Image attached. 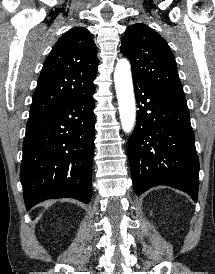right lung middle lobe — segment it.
Wrapping results in <instances>:
<instances>
[{
  "label": "right lung middle lobe",
  "instance_id": "obj_1",
  "mask_svg": "<svg viewBox=\"0 0 215 274\" xmlns=\"http://www.w3.org/2000/svg\"><path fill=\"white\" fill-rule=\"evenodd\" d=\"M38 116H40V115L30 113V116H29L28 121L34 120V119L37 118Z\"/></svg>",
  "mask_w": 215,
  "mask_h": 274
}]
</instances>
